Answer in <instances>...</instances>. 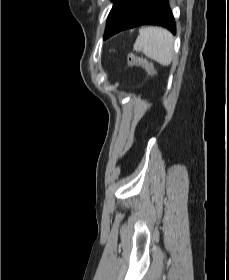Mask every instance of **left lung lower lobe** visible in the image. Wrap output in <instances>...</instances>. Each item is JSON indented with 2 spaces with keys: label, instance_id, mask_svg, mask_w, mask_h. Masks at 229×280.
Here are the masks:
<instances>
[{
  "label": "left lung lower lobe",
  "instance_id": "0a47b994",
  "mask_svg": "<svg viewBox=\"0 0 229 280\" xmlns=\"http://www.w3.org/2000/svg\"><path fill=\"white\" fill-rule=\"evenodd\" d=\"M145 24L160 25L176 33L168 0H129L118 19L105 31L104 39L122 30Z\"/></svg>",
  "mask_w": 229,
  "mask_h": 280
}]
</instances>
